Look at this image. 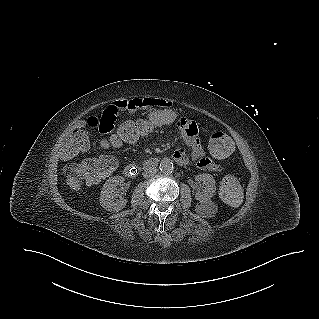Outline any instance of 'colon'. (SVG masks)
<instances>
[{
    "mask_svg": "<svg viewBox=\"0 0 319 319\" xmlns=\"http://www.w3.org/2000/svg\"><path fill=\"white\" fill-rule=\"evenodd\" d=\"M147 131V128L139 121H132L121 126L114 135H106L97 141L96 150L101 154L99 157L90 159L82 165H70L68 172L81 184L98 180L112 173L117 162L109 152H119L127 145L137 144ZM87 145L86 132L84 130L74 132L65 142L62 156L71 159ZM204 145L209 155L217 161L228 159L234 151L232 140L225 132L219 130L210 132L205 138ZM220 193L225 201L231 204L239 203L242 198V188L238 178L226 176L221 182Z\"/></svg>",
    "mask_w": 319,
    "mask_h": 319,
    "instance_id": "5ec220e1",
    "label": "colon"
}]
</instances>
